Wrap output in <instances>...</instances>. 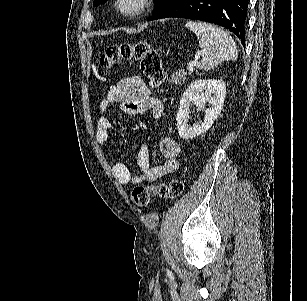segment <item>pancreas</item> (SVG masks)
I'll list each match as a JSON object with an SVG mask.
<instances>
[{"label": "pancreas", "instance_id": "obj_1", "mask_svg": "<svg viewBox=\"0 0 307 301\" xmlns=\"http://www.w3.org/2000/svg\"><path fill=\"white\" fill-rule=\"evenodd\" d=\"M190 74H192L191 70H184V68L175 70V72L171 74V82H174V84H184L185 80H188Z\"/></svg>", "mask_w": 307, "mask_h": 301}]
</instances>
